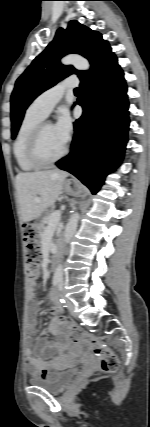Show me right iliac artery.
<instances>
[{"label": "right iliac artery", "mask_w": 150, "mask_h": 427, "mask_svg": "<svg viewBox=\"0 0 150 427\" xmlns=\"http://www.w3.org/2000/svg\"><path fill=\"white\" fill-rule=\"evenodd\" d=\"M53 285L57 286L58 285V281H53Z\"/></svg>", "instance_id": "82829eb1"}]
</instances>
